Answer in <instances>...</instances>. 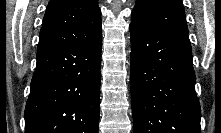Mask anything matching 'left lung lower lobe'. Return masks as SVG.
Instances as JSON below:
<instances>
[{"mask_svg": "<svg viewBox=\"0 0 221 133\" xmlns=\"http://www.w3.org/2000/svg\"><path fill=\"white\" fill-rule=\"evenodd\" d=\"M134 133H200L188 35L130 24Z\"/></svg>", "mask_w": 221, "mask_h": 133, "instance_id": "1", "label": "left lung lower lobe"}]
</instances>
